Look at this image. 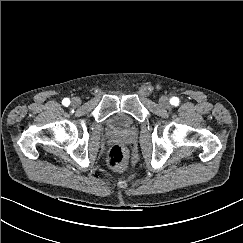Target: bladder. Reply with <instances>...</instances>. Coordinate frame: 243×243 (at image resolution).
Here are the masks:
<instances>
[{
  "label": "bladder",
  "mask_w": 243,
  "mask_h": 243,
  "mask_svg": "<svg viewBox=\"0 0 243 243\" xmlns=\"http://www.w3.org/2000/svg\"><path fill=\"white\" fill-rule=\"evenodd\" d=\"M109 126L114 130H124L129 127L128 119L123 115H114L109 119Z\"/></svg>",
  "instance_id": "31cf9c89"
}]
</instances>
